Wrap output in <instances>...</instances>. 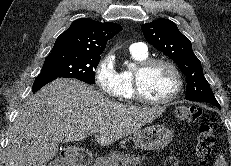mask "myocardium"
Listing matches in <instances>:
<instances>
[{"label":"myocardium","instance_id":"f54148a6","mask_svg":"<svg viewBox=\"0 0 231 166\" xmlns=\"http://www.w3.org/2000/svg\"><path fill=\"white\" fill-rule=\"evenodd\" d=\"M157 64H163L167 66L175 77V88L173 92L165 99H151L144 95L141 87L142 75L152 66ZM133 83V97L147 105L165 106L172 103L181 93L183 89V76L178 66L171 60L162 57L148 58L142 62H139L132 74Z\"/></svg>","mask_w":231,"mask_h":166}]
</instances>
